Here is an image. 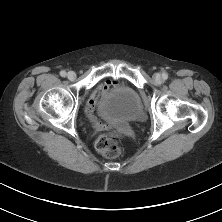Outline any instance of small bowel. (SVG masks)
Instances as JSON below:
<instances>
[{
	"label": "small bowel",
	"instance_id": "1",
	"mask_svg": "<svg viewBox=\"0 0 222 222\" xmlns=\"http://www.w3.org/2000/svg\"><path fill=\"white\" fill-rule=\"evenodd\" d=\"M117 82L113 79H106L104 82L100 83L91 93L87 104H86V113L92 123V125L97 129V130H104L107 128V125L102 123L100 120H98L94 116V109H95V104L96 101L99 97H101V100L103 101L112 86H115Z\"/></svg>",
	"mask_w": 222,
	"mask_h": 222
}]
</instances>
